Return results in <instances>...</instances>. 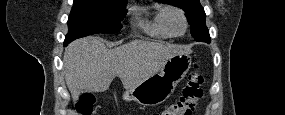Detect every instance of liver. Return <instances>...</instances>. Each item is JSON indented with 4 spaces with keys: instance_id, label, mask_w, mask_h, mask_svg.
<instances>
[{
    "instance_id": "6515ba94",
    "label": "liver",
    "mask_w": 285,
    "mask_h": 115,
    "mask_svg": "<svg viewBox=\"0 0 285 115\" xmlns=\"http://www.w3.org/2000/svg\"><path fill=\"white\" fill-rule=\"evenodd\" d=\"M180 47L135 40L108 50L102 39L88 37L76 40L65 49L64 75L72 99L82 92H104L118 76L126 90L158 73Z\"/></svg>"
}]
</instances>
